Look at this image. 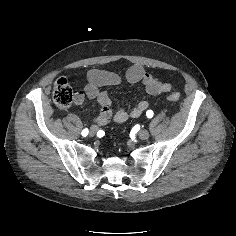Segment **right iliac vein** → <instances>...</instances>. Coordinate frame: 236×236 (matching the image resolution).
Masks as SVG:
<instances>
[{
  "instance_id": "1",
  "label": "right iliac vein",
  "mask_w": 236,
  "mask_h": 236,
  "mask_svg": "<svg viewBox=\"0 0 236 236\" xmlns=\"http://www.w3.org/2000/svg\"><path fill=\"white\" fill-rule=\"evenodd\" d=\"M97 130H98V128H97L96 126H92V127L90 128L89 135H90V136H94V135L97 133Z\"/></svg>"
}]
</instances>
